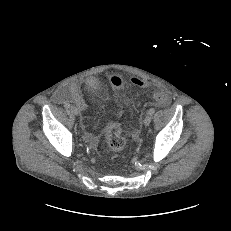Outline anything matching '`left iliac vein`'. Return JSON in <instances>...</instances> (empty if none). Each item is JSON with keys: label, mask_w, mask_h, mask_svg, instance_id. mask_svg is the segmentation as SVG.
Wrapping results in <instances>:
<instances>
[{"label": "left iliac vein", "mask_w": 231, "mask_h": 231, "mask_svg": "<svg viewBox=\"0 0 231 231\" xmlns=\"http://www.w3.org/2000/svg\"><path fill=\"white\" fill-rule=\"evenodd\" d=\"M151 120H152L151 115H150V114H147V115L145 116V118H144V125H145V126H149L150 123H151Z\"/></svg>", "instance_id": "1"}]
</instances>
